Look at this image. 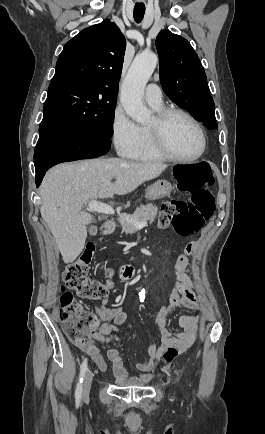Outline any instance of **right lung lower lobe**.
Masks as SVG:
<instances>
[{"label":"right lung lower lobe","mask_w":265,"mask_h":434,"mask_svg":"<svg viewBox=\"0 0 265 434\" xmlns=\"http://www.w3.org/2000/svg\"><path fill=\"white\" fill-rule=\"evenodd\" d=\"M110 144L107 137L75 133L55 123H41L34 152L36 186L52 166L102 156L110 150Z\"/></svg>","instance_id":"98d812e1"}]
</instances>
